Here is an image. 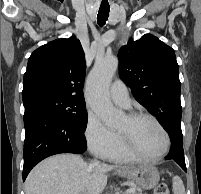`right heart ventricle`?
<instances>
[{"instance_id":"1","label":"right heart ventricle","mask_w":201,"mask_h":194,"mask_svg":"<svg viewBox=\"0 0 201 194\" xmlns=\"http://www.w3.org/2000/svg\"><path fill=\"white\" fill-rule=\"evenodd\" d=\"M105 158L110 161L119 162V163L133 162L136 160V158L131 156L125 150L119 134H118V141L116 146L111 150V152Z\"/></svg>"}]
</instances>
